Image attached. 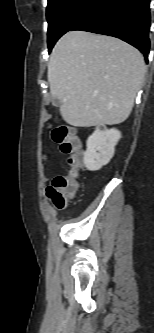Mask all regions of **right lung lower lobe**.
Returning a JSON list of instances; mask_svg holds the SVG:
<instances>
[{
    "instance_id": "obj_1",
    "label": "right lung lower lobe",
    "mask_w": 154,
    "mask_h": 333,
    "mask_svg": "<svg viewBox=\"0 0 154 333\" xmlns=\"http://www.w3.org/2000/svg\"><path fill=\"white\" fill-rule=\"evenodd\" d=\"M150 0H99L72 30L117 37L139 49L148 61Z\"/></svg>"
}]
</instances>
